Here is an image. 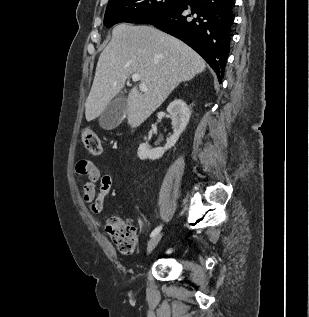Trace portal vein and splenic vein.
Instances as JSON below:
<instances>
[{
    "instance_id": "1",
    "label": "portal vein and splenic vein",
    "mask_w": 309,
    "mask_h": 317,
    "mask_svg": "<svg viewBox=\"0 0 309 317\" xmlns=\"http://www.w3.org/2000/svg\"><path fill=\"white\" fill-rule=\"evenodd\" d=\"M141 77L139 74H133L132 75V81L133 82H138L140 81ZM139 88L141 91H147V86L144 83H140L139 84Z\"/></svg>"
}]
</instances>
